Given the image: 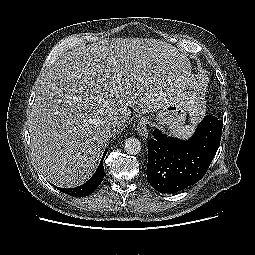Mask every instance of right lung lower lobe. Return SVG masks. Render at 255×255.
Masks as SVG:
<instances>
[{
  "mask_svg": "<svg viewBox=\"0 0 255 255\" xmlns=\"http://www.w3.org/2000/svg\"><path fill=\"white\" fill-rule=\"evenodd\" d=\"M106 155V151L103 154V157L100 161V164L95 172V174L83 185L78 186L76 188H60L57 187V189L61 190L62 192L75 196V197H84L90 195L92 192L96 190V188L99 186V184L102 182L105 172L103 167V159Z\"/></svg>",
  "mask_w": 255,
  "mask_h": 255,
  "instance_id": "98d812e1",
  "label": "right lung lower lobe"
}]
</instances>
